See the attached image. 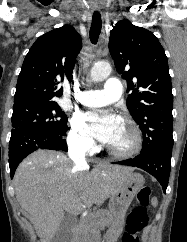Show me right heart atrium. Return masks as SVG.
Returning a JSON list of instances; mask_svg holds the SVG:
<instances>
[{"instance_id":"d8ad5b80","label":"right heart atrium","mask_w":187,"mask_h":242,"mask_svg":"<svg viewBox=\"0 0 187 242\" xmlns=\"http://www.w3.org/2000/svg\"><path fill=\"white\" fill-rule=\"evenodd\" d=\"M68 144L73 151L78 153H90L95 148L93 139L87 133L84 120L79 115L73 116L70 120Z\"/></svg>"}]
</instances>
